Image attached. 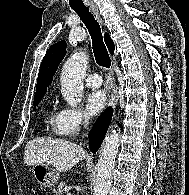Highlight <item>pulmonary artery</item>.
I'll use <instances>...</instances> for the list:
<instances>
[{
	"label": "pulmonary artery",
	"mask_w": 189,
	"mask_h": 195,
	"mask_svg": "<svg viewBox=\"0 0 189 195\" xmlns=\"http://www.w3.org/2000/svg\"><path fill=\"white\" fill-rule=\"evenodd\" d=\"M86 84L91 88H99L102 85V78L98 73H89L85 78Z\"/></svg>",
	"instance_id": "pulmonary-artery-1"
}]
</instances>
